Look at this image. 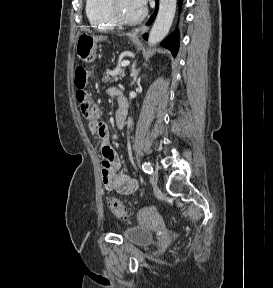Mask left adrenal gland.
<instances>
[{"mask_svg":"<svg viewBox=\"0 0 273 288\" xmlns=\"http://www.w3.org/2000/svg\"><path fill=\"white\" fill-rule=\"evenodd\" d=\"M140 71V69H136V63H133L131 68V77L133 78V81L131 82V85H133L137 81V76Z\"/></svg>","mask_w":273,"mask_h":288,"instance_id":"1","label":"left adrenal gland"}]
</instances>
